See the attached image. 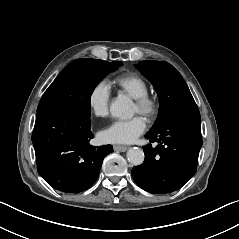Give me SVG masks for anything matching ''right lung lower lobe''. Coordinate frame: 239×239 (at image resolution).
<instances>
[{"instance_id":"1","label":"right lung lower lobe","mask_w":239,"mask_h":239,"mask_svg":"<svg viewBox=\"0 0 239 239\" xmlns=\"http://www.w3.org/2000/svg\"><path fill=\"white\" fill-rule=\"evenodd\" d=\"M90 114L75 105H58L37 112L32 133L38 173L54 189L79 193L98 178L111 145L93 147Z\"/></svg>"}]
</instances>
